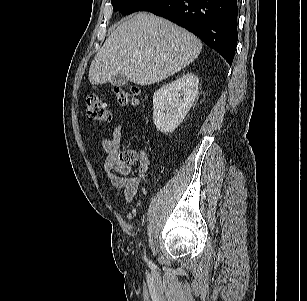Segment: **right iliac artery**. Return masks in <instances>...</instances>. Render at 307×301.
Listing matches in <instances>:
<instances>
[{"mask_svg": "<svg viewBox=\"0 0 307 301\" xmlns=\"http://www.w3.org/2000/svg\"><path fill=\"white\" fill-rule=\"evenodd\" d=\"M144 259H145L146 262L148 261L146 257H144Z\"/></svg>", "mask_w": 307, "mask_h": 301, "instance_id": "82829eb1", "label": "right iliac artery"}]
</instances>
